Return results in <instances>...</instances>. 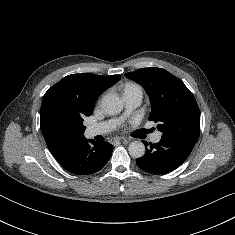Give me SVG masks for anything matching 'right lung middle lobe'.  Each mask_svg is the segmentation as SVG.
Listing matches in <instances>:
<instances>
[{"label":"right lung middle lobe","mask_w":235,"mask_h":235,"mask_svg":"<svg viewBox=\"0 0 235 235\" xmlns=\"http://www.w3.org/2000/svg\"><path fill=\"white\" fill-rule=\"evenodd\" d=\"M91 114H83L79 111L72 112L70 114H67L64 118L63 121L65 124L69 126H73L81 131L85 130V126L83 125V117L84 116H89Z\"/></svg>","instance_id":"obj_1"}]
</instances>
